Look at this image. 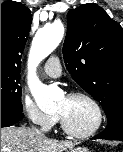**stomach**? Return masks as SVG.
<instances>
[{
    "instance_id": "stomach-1",
    "label": "stomach",
    "mask_w": 123,
    "mask_h": 152,
    "mask_svg": "<svg viewBox=\"0 0 123 152\" xmlns=\"http://www.w3.org/2000/svg\"><path fill=\"white\" fill-rule=\"evenodd\" d=\"M67 152H90L86 147H72Z\"/></svg>"
}]
</instances>
